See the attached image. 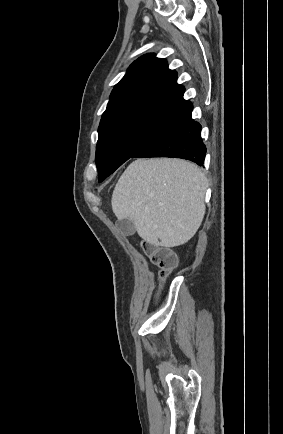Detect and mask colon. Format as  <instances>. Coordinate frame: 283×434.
<instances>
[{"label":"colon","mask_w":283,"mask_h":434,"mask_svg":"<svg viewBox=\"0 0 283 434\" xmlns=\"http://www.w3.org/2000/svg\"><path fill=\"white\" fill-rule=\"evenodd\" d=\"M144 250L151 263L158 267L160 281H164L177 265L175 253L169 248L152 244H145Z\"/></svg>","instance_id":"1"}]
</instances>
